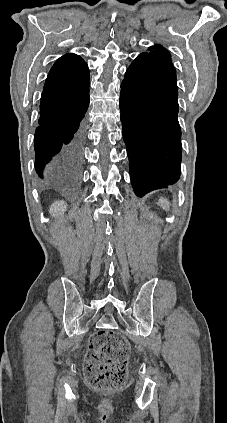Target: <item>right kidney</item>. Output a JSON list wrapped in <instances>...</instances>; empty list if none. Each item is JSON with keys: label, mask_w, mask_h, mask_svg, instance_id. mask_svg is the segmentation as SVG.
Wrapping results in <instances>:
<instances>
[{"label": "right kidney", "mask_w": 227, "mask_h": 423, "mask_svg": "<svg viewBox=\"0 0 227 423\" xmlns=\"http://www.w3.org/2000/svg\"><path fill=\"white\" fill-rule=\"evenodd\" d=\"M67 208V204L66 202H54V204H52V206H50V213L51 215H53V217H55V215H61V213H64V211Z\"/></svg>", "instance_id": "ca27d5eb"}]
</instances>
